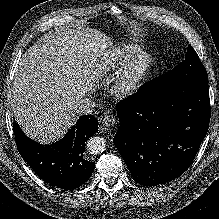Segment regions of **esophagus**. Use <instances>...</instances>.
<instances>
[{
	"mask_svg": "<svg viewBox=\"0 0 219 219\" xmlns=\"http://www.w3.org/2000/svg\"><path fill=\"white\" fill-rule=\"evenodd\" d=\"M101 124L103 127L111 128L115 124V118L112 115H106L101 118Z\"/></svg>",
	"mask_w": 219,
	"mask_h": 219,
	"instance_id": "esophagus-1",
	"label": "esophagus"
}]
</instances>
